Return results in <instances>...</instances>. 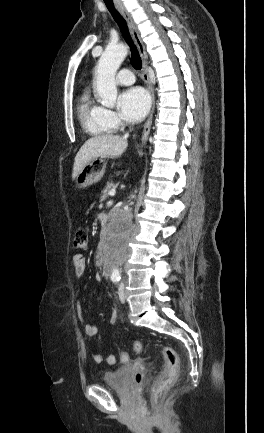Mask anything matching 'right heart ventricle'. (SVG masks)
Here are the masks:
<instances>
[{
  "label": "right heart ventricle",
  "instance_id": "e07e8e85",
  "mask_svg": "<svg viewBox=\"0 0 264 433\" xmlns=\"http://www.w3.org/2000/svg\"><path fill=\"white\" fill-rule=\"evenodd\" d=\"M78 117L84 131L90 136H104L113 131V127L105 117V109L87 93L79 99Z\"/></svg>",
  "mask_w": 264,
  "mask_h": 433
}]
</instances>
